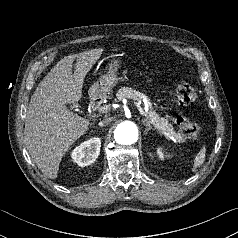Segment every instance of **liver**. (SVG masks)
<instances>
[{
    "mask_svg": "<svg viewBox=\"0 0 238 238\" xmlns=\"http://www.w3.org/2000/svg\"><path fill=\"white\" fill-rule=\"evenodd\" d=\"M102 52L101 48L91 49L64 57L31 97L24 129L25 143L37 167L50 179L57 177L60 162L70 146L88 130L89 121L74 114L66 104L78 105L85 76Z\"/></svg>",
    "mask_w": 238,
    "mask_h": 238,
    "instance_id": "1",
    "label": "liver"
}]
</instances>
